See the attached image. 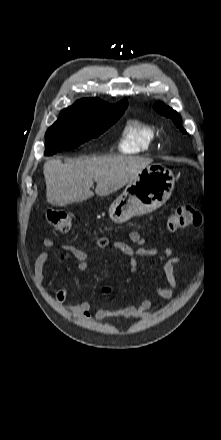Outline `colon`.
<instances>
[{"mask_svg": "<svg viewBox=\"0 0 221 440\" xmlns=\"http://www.w3.org/2000/svg\"><path fill=\"white\" fill-rule=\"evenodd\" d=\"M46 218L50 225L59 233H68L72 228L73 219L65 211L49 210ZM201 214L189 205L176 207L167 221L169 231L175 232L189 227L197 226L201 223ZM104 241L100 245H104Z\"/></svg>", "mask_w": 221, "mask_h": 440, "instance_id": "5ec220e1", "label": "colon"}]
</instances>
